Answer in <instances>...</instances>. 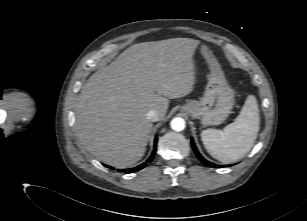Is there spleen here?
I'll return each instance as SVG.
<instances>
[{
	"label": "spleen",
	"instance_id": "obj_1",
	"mask_svg": "<svg viewBox=\"0 0 307 221\" xmlns=\"http://www.w3.org/2000/svg\"><path fill=\"white\" fill-rule=\"evenodd\" d=\"M260 115L256 97L249 95L240 114L222 131L206 129L201 139L207 152L223 163L242 159L252 148L259 131Z\"/></svg>",
	"mask_w": 307,
	"mask_h": 221
}]
</instances>
